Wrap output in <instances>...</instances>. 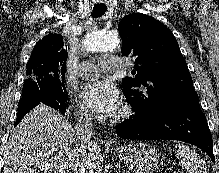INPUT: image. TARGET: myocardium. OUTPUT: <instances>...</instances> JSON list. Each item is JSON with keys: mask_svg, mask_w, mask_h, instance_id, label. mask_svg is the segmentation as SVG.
Segmentation results:
<instances>
[{"mask_svg": "<svg viewBox=\"0 0 219 173\" xmlns=\"http://www.w3.org/2000/svg\"><path fill=\"white\" fill-rule=\"evenodd\" d=\"M132 115V109L129 105H124L115 116V121L122 122Z\"/></svg>", "mask_w": 219, "mask_h": 173, "instance_id": "f54148a6", "label": "myocardium"}]
</instances>
